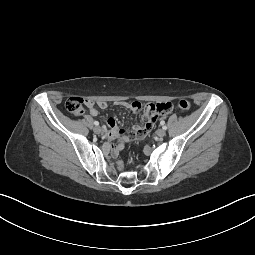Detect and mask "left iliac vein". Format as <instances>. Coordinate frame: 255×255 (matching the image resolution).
Segmentation results:
<instances>
[{"instance_id":"4c4485c4","label":"left iliac vein","mask_w":255,"mask_h":255,"mask_svg":"<svg viewBox=\"0 0 255 255\" xmlns=\"http://www.w3.org/2000/svg\"><path fill=\"white\" fill-rule=\"evenodd\" d=\"M157 136L158 137H164L166 135V132L164 129H158L157 132H156Z\"/></svg>"}]
</instances>
